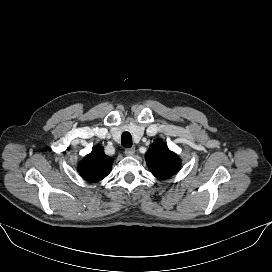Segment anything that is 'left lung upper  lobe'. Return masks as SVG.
<instances>
[{"label":"left lung upper lobe","mask_w":272,"mask_h":272,"mask_svg":"<svg viewBox=\"0 0 272 272\" xmlns=\"http://www.w3.org/2000/svg\"><path fill=\"white\" fill-rule=\"evenodd\" d=\"M146 162L152 174L159 179H167L174 175L181 164L179 157L162 141L150 146L146 153Z\"/></svg>","instance_id":"left-lung-upper-lobe-1"}]
</instances>
